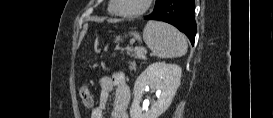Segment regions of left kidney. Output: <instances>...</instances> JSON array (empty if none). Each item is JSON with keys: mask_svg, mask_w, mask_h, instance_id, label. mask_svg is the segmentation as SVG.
Instances as JSON below:
<instances>
[{"mask_svg": "<svg viewBox=\"0 0 273 118\" xmlns=\"http://www.w3.org/2000/svg\"><path fill=\"white\" fill-rule=\"evenodd\" d=\"M182 70L178 65L157 62L148 66L134 84V99L130 108L131 118H158L170 106L180 85ZM146 87L159 91L157 101L150 109H142L140 102Z\"/></svg>", "mask_w": 273, "mask_h": 118, "instance_id": "1", "label": "left kidney"}]
</instances>
